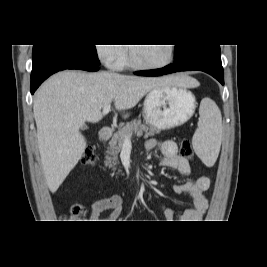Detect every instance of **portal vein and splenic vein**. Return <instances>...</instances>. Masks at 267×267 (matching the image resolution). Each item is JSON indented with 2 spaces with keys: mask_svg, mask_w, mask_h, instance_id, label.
<instances>
[{
  "mask_svg": "<svg viewBox=\"0 0 267 267\" xmlns=\"http://www.w3.org/2000/svg\"><path fill=\"white\" fill-rule=\"evenodd\" d=\"M110 108H111L110 104L104 106L103 111H102L103 115H106L110 111ZM124 142L130 143L131 142V136H126Z\"/></svg>",
  "mask_w": 267,
  "mask_h": 267,
  "instance_id": "18ae733b",
  "label": "portal vein and splenic vein"
}]
</instances>
